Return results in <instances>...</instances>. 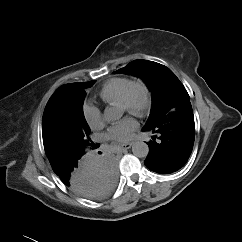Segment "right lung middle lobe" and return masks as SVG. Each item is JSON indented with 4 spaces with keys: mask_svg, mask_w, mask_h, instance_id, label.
Returning <instances> with one entry per match:
<instances>
[{
    "mask_svg": "<svg viewBox=\"0 0 242 242\" xmlns=\"http://www.w3.org/2000/svg\"><path fill=\"white\" fill-rule=\"evenodd\" d=\"M94 82H84L76 94L46 105L42 135L51 166L83 157L88 146L97 147L88 136L90 128L83 115L85 90Z\"/></svg>",
    "mask_w": 242,
    "mask_h": 242,
    "instance_id": "right-lung-middle-lobe-1",
    "label": "right lung middle lobe"
}]
</instances>
